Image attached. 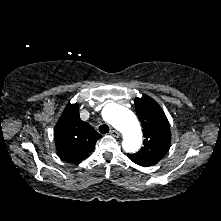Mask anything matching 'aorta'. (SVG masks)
Instances as JSON below:
<instances>
[{"mask_svg": "<svg viewBox=\"0 0 221 221\" xmlns=\"http://www.w3.org/2000/svg\"><path fill=\"white\" fill-rule=\"evenodd\" d=\"M105 119L123 134V149L136 152L142 144L140 124L132 111L118 104H109L104 113Z\"/></svg>", "mask_w": 221, "mask_h": 221, "instance_id": "1", "label": "aorta"}]
</instances>
